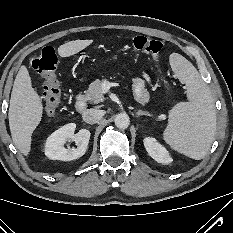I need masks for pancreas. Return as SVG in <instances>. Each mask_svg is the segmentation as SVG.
I'll use <instances>...</instances> for the list:
<instances>
[{
  "label": "pancreas",
  "instance_id": "cf45deb5",
  "mask_svg": "<svg viewBox=\"0 0 233 233\" xmlns=\"http://www.w3.org/2000/svg\"><path fill=\"white\" fill-rule=\"evenodd\" d=\"M132 90L135 100L144 105L149 101V92L145 87V81L140 78L132 79ZM104 80L96 79L90 83L89 88L85 91V99L90 103L98 104L104 100L102 84Z\"/></svg>",
  "mask_w": 233,
  "mask_h": 233
}]
</instances>
